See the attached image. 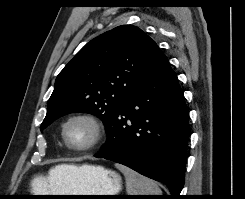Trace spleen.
I'll use <instances>...</instances> for the list:
<instances>
[{
	"label": "spleen",
	"instance_id": "3e777b00",
	"mask_svg": "<svg viewBox=\"0 0 245 199\" xmlns=\"http://www.w3.org/2000/svg\"><path fill=\"white\" fill-rule=\"evenodd\" d=\"M115 167L125 176L128 195H162L160 188L153 180L121 164H115Z\"/></svg>",
	"mask_w": 245,
	"mask_h": 199
}]
</instances>
